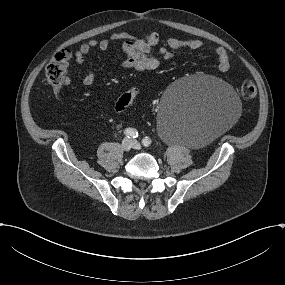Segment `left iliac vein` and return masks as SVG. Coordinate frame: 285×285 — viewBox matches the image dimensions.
I'll return each instance as SVG.
<instances>
[{
	"instance_id": "left-iliac-vein-1",
	"label": "left iliac vein",
	"mask_w": 285,
	"mask_h": 285,
	"mask_svg": "<svg viewBox=\"0 0 285 285\" xmlns=\"http://www.w3.org/2000/svg\"><path fill=\"white\" fill-rule=\"evenodd\" d=\"M131 141L133 143V148L134 149H137V150L141 149V145H140V143L137 140H131Z\"/></svg>"
}]
</instances>
